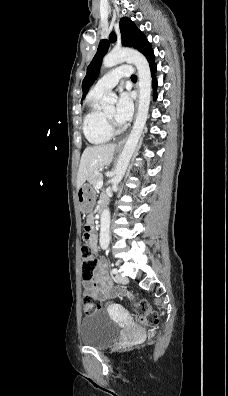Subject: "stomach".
Instances as JSON below:
<instances>
[{"instance_id": "0dacf381", "label": "stomach", "mask_w": 228, "mask_h": 396, "mask_svg": "<svg viewBox=\"0 0 228 396\" xmlns=\"http://www.w3.org/2000/svg\"><path fill=\"white\" fill-rule=\"evenodd\" d=\"M77 199L80 210L88 214L92 212L95 205L96 192L90 184H83L77 189Z\"/></svg>"}]
</instances>
